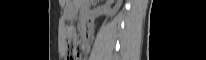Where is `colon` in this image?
<instances>
[{
  "mask_svg": "<svg viewBox=\"0 0 206 60\" xmlns=\"http://www.w3.org/2000/svg\"><path fill=\"white\" fill-rule=\"evenodd\" d=\"M66 42H67V58L74 60L78 49V43L76 39V28L74 24L69 23L66 26Z\"/></svg>",
  "mask_w": 206,
  "mask_h": 60,
  "instance_id": "5ec220e1",
  "label": "colon"
}]
</instances>
